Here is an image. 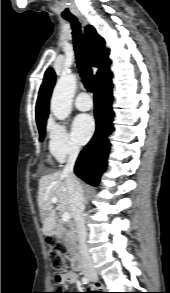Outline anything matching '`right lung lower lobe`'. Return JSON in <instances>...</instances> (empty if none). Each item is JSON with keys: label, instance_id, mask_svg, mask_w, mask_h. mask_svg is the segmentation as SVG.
I'll return each mask as SVG.
<instances>
[{"label": "right lung lower lobe", "instance_id": "obj_1", "mask_svg": "<svg viewBox=\"0 0 170 293\" xmlns=\"http://www.w3.org/2000/svg\"><path fill=\"white\" fill-rule=\"evenodd\" d=\"M111 78L112 75H108L96 84L94 95L96 132L81 151L74 169L77 176L92 186L98 184L101 174L106 169L110 150L108 136L114 130Z\"/></svg>", "mask_w": 170, "mask_h": 293}]
</instances>
